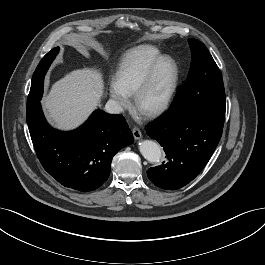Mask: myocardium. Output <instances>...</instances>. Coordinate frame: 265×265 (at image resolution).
<instances>
[{
	"mask_svg": "<svg viewBox=\"0 0 265 265\" xmlns=\"http://www.w3.org/2000/svg\"><path fill=\"white\" fill-rule=\"evenodd\" d=\"M168 65L170 69V81L165 95L162 99L150 107L143 106V99L150 89L159 69L163 65ZM179 81V70L175 60L169 56H161L156 59L144 78L141 80L133 93L134 108L147 117H156L164 113L172 104Z\"/></svg>",
	"mask_w": 265,
	"mask_h": 265,
	"instance_id": "1",
	"label": "myocardium"
}]
</instances>
